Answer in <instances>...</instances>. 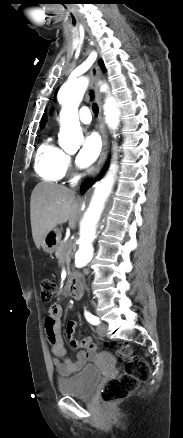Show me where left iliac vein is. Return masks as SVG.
<instances>
[{"mask_svg": "<svg viewBox=\"0 0 183 438\" xmlns=\"http://www.w3.org/2000/svg\"><path fill=\"white\" fill-rule=\"evenodd\" d=\"M106 332H107V327L105 325L100 324L97 326V334L100 337H104L106 335Z\"/></svg>", "mask_w": 183, "mask_h": 438, "instance_id": "1", "label": "left iliac vein"}]
</instances>
